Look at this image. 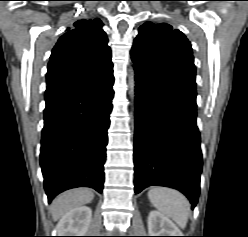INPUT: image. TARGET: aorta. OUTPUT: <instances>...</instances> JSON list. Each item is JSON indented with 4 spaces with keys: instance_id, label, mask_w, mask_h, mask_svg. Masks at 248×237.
I'll use <instances>...</instances> for the list:
<instances>
[{
    "instance_id": "762f6f07",
    "label": "aorta",
    "mask_w": 248,
    "mask_h": 237,
    "mask_svg": "<svg viewBox=\"0 0 248 237\" xmlns=\"http://www.w3.org/2000/svg\"><path fill=\"white\" fill-rule=\"evenodd\" d=\"M128 84H129V89H130L129 93H130L131 97H134L135 73H134L133 69L130 70Z\"/></svg>"
}]
</instances>
